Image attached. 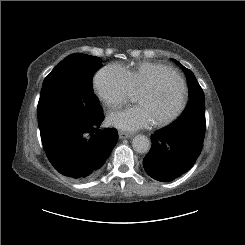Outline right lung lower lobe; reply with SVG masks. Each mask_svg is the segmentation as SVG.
Returning a JSON list of instances; mask_svg holds the SVG:
<instances>
[{
    "instance_id": "right-lung-lower-lobe-1",
    "label": "right lung lower lobe",
    "mask_w": 245,
    "mask_h": 245,
    "mask_svg": "<svg viewBox=\"0 0 245 245\" xmlns=\"http://www.w3.org/2000/svg\"><path fill=\"white\" fill-rule=\"evenodd\" d=\"M103 113L83 125L59 127L41 137L53 167L78 181L96 177L118 141L114 129L99 130Z\"/></svg>"
}]
</instances>
